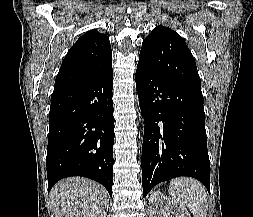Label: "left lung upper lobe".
Here are the masks:
<instances>
[{
  "label": "left lung upper lobe",
  "instance_id": "left-lung-upper-lobe-1",
  "mask_svg": "<svg viewBox=\"0 0 253 217\" xmlns=\"http://www.w3.org/2000/svg\"><path fill=\"white\" fill-rule=\"evenodd\" d=\"M139 60L161 76L201 92L194 57L173 30L163 26L153 29L142 43Z\"/></svg>",
  "mask_w": 253,
  "mask_h": 217
}]
</instances>
